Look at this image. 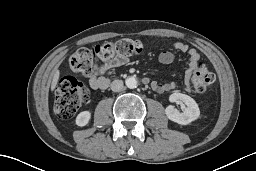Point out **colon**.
Returning <instances> with one entry per match:
<instances>
[{
  "label": "colon",
  "instance_id": "5ec220e1",
  "mask_svg": "<svg viewBox=\"0 0 256 171\" xmlns=\"http://www.w3.org/2000/svg\"><path fill=\"white\" fill-rule=\"evenodd\" d=\"M143 50L139 40L121 39L92 47H83L74 52L68 59L66 67L75 73L90 75L95 70L97 59L109 61L114 58H127ZM195 92L205 94L212 91L215 76L204 62H198L191 74ZM89 89L74 77H63L57 84L55 95V112L63 119L70 118L77 109L89 99Z\"/></svg>",
  "mask_w": 256,
  "mask_h": 171
}]
</instances>
